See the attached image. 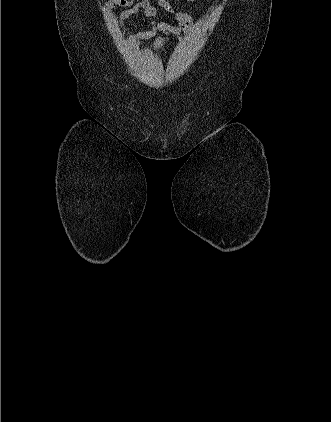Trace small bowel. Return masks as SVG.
Returning <instances> with one entry per match:
<instances>
[{"label": "small bowel", "instance_id": "small-bowel-1", "mask_svg": "<svg viewBox=\"0 0 331 422\" xmlns=\"http://www.w3.org/2000/svg\"><path fill=\"white\" fill-rule=\"evenodd\" d=\"M191 3L205 7L207 9H215L219 5H203L199 0H188ZM159 7L170 13L177 21V26L171 25L159 19L157 9L152 5L151 0H108L106 2L107 9L112 12L118 7H126L125 10L121 11L118 17V29H122L127 19L142 13L150 22L151 28L136 33L133 36L134 41H141L145 39L153 38L157 33L163 34L165 37L158 38L151 45L153 50L163 49L166 44L173 38L177 37L181 31L191 33L195 30L193 20L191 16L182 11H176L168 0H157ZM112 16H110V19Z\"/></svg>", "mask_w": 331, "mask_h": 422}]
</instances>
